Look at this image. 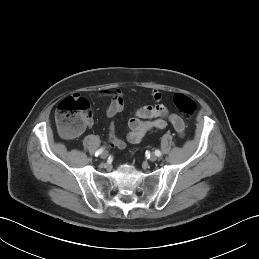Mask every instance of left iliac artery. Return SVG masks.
I'll return each instance as SVG.
<instances>
[{
	"mask_svg": "<svg viewBox=\"0 0 259 259\" xmlns=\"http://www.w3.org/2000/svg\"><path fill=\"white\" fill-rule=\"evenodd\" d=\"M155 155L159 157L161 156V152L159 150H155Z\"/></svg>",
	"mask_w": 259,
	"mask_h": 259,
	"instance_id": "44dca946",
	"label": "left iliac artery"
}]
</instances>
